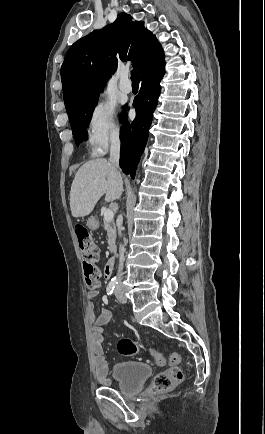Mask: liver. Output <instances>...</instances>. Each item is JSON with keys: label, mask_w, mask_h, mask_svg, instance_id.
<instances>
[{"label": "liver", "mask_w": 265, "mask_h": 434, "mask_svg": "<svg viewBox=\"0 0 265 434\" xmlns=\"http://www.w3.org/2000/svg\"><path fill=\"white\" fill-rule=\"evenodd\" d=\"M123 182L116 166L104 158L90 160L79 168L71 186L70 208L73 218L91 214L101 196L105 202L119 200Z\"/></svg>", "instance_id": "obj_1"}]
</instances>
